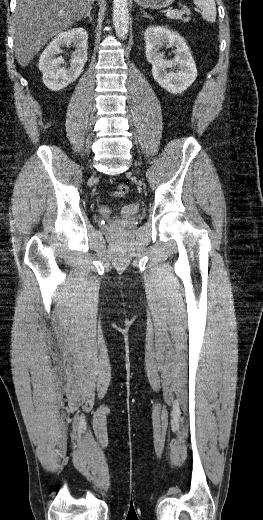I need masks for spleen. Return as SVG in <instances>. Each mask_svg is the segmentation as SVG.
<instances>
[{
  "instance_id": "spleen-1",
  "label": "spleen",
  "mask_w": 263,
  "mask_h": 520,
  "mask_svg": "<svg viewBox=\"0 0 263 520\" xmlns=\"http://www.w3.org/2000/svg\"><path fill=\"white\" fill-rule=\"evenodd\" d=\"M193 2L201 9L203 19L215 22L217 14L215 0H193Z\"/></svg>"
}]
</instances>
